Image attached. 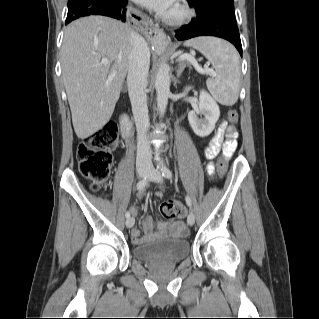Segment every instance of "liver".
Wrapping results in <instances>:
<instances>
[{"label":"liver","instance_id":"obj_1","mask_svg":"<svg viewBox=\"0 0 319 319\" xmlns=\"http://www.w3.org/2000/svg\"><path fill=\"white\" fill-rule=\"evenodd\" d=\"M127 25L104 16L69 24L61 47L65 90L78 138L93 135L110 120L129 68ZM107 58L108 64L101 60Z\"/></svg>","mask_w":319,"mask_h":319}]
</instances>
